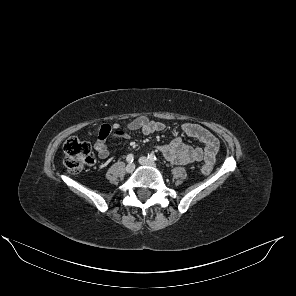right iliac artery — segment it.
Masks as SVG:
<instances>
[{
  "label": "right iliac artery",
  "mask_w": 296,
  "mask_h": 296,
  "mask_svg": "<svg viewBox=\"0 0 296 296\" xmlns=\"http://www.w3.org/2000/svg\"><path fill=\"white\" fill-rule=\"evenodd\" d=\"M126 160H127V162L132 163L133 160H134V156H133V154H129V155H127Z\"/></svg>",
  "instance_id": "1"
}]
</instances>
